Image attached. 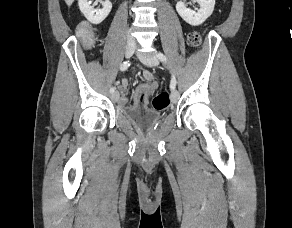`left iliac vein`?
<instances>
[{
	"label": "left iliac vein",
	"instance_id": "1",
	"mask_svg": "<svg viewBox=\"0 0 292 228\" xmlns=\"http://www.w3.org/2000/svg\"><path fill=\"white\" fill-rule=\"evenodd\" d=\"M138 58L148 66H157L159 64L158 57L155 55L145 56L141 53H138ZM179 98V93L176 90H173L170 94V99L172 103H176Z\"/></svg>",
	"mask_w": 292,
	"mask_h": 228
}]
</instances>
